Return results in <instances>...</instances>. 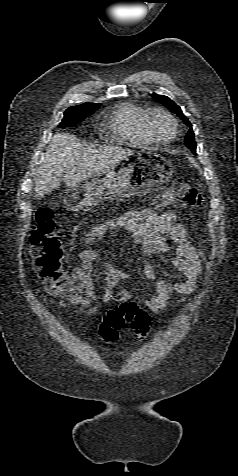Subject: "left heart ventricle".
Masks as SVG:
<instances>
[{"label": "left heart ventricle", "mask_w": 238, "mask_h": 476, "mask_svg": "<svg viewBox=\"0 0 238 476\" xmlns=\"http://www.w3.org/2000/svg\"><path fill=\"white\" fill-rule=\"evenodd\" d=\"M151 124L153 131L160 139H168L173 133L172 122L162 114L153 116Z\"/></svg>", "instance_id": "b2bd125f"}]
</instances>
